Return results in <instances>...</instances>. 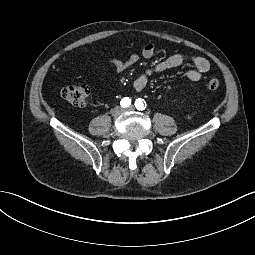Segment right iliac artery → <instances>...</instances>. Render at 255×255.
<instances>
[{
  "label": "right iliac artery",
  "instance_id": "right-iliac-artery-1",
  "mask_svg": "<svg viewBox=\"0 0 255 255\" xmlns=\"http://www.w3.org/2000/svg\"><path fill=\"white\" fill-rule=\"evenodd\" d=\"M131 104V99L129 97H125L121 100L120 102V105L123 107V108H126L128 107L129 105Z\"/></svg>",
  "mask_w": 255,
  "mask_h": 255
}]
</instances>
